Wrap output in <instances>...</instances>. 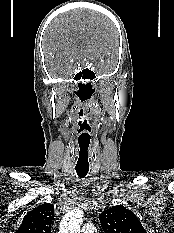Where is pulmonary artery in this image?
<instances>
[{"mask_svg":"<svg viewBox=\"0 0 174 233\" xmlns=\"http://www.w3.org/2000/svg\"><path fill=\"white\" fill-rule=\"evenodd\" d=\"M82 233H96V229L92 224H85L82 228Z\"/></svg>","mask_w":174,"mask_h":233,"instance_id":"e3ab8cb5","label":"pulmonary artery"}]
</instances>
